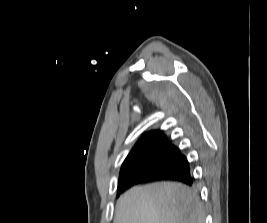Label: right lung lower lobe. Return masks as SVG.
I'll use <instances>...</instances> for the list:
<instances>
[{"mask_svg": "<svg viewBox=\"0 0 267 223\" xmlns=\"http://www.w3.org/2000/svg\"><path fill=\"white\" fill-rule=\"evenodd\" d=\"M174 180L192 185L193 178L190 173L189 162L186 157L170 172L157 171H137L131 174L120 176L118 182V195L127 188L142 182L156 181V180Z\"/></svg>", "mask_w": 267, "mask_h": 223, "instance_id": "obj_1", "label": "right lung lower lobe"}]
</instances>
